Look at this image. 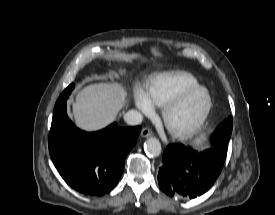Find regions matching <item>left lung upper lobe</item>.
Listing matches in <instances>:
<instances>
[{
	"label": "left lung upper lobe",
	"instance_id": "1",
	"mask_svg": "<svg viewBox=\"0 0 275 215\" xmlns=\"http://www.w3.org/2000/svg\"><path fill=\"white\" fill-rule=\"evenodd\" d=\"M232 132V117L229 116L222 122L213 133L210 139L211 148L203 151L213 158L224 162L227 155V147ZM228 134V135H227Z\"/></svg>",
	"mask_w": 275,
	"mask_h": 215
}]
</instances>
